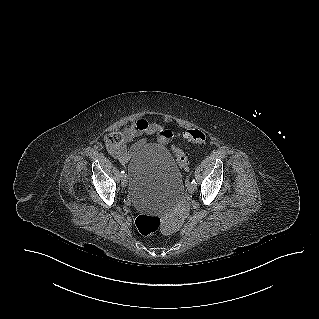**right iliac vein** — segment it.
Returning <instances> with one entry per match:
<instances>
[{"instance_id": "1", "label": "right iliac vein", "mask_w": 319, "mask_h": 319, "mask_svg": "<svg viewBox=\"0 0 319 319\" xmlns=\"http://www.w3.org/2000/svg\"><path fill=\"white\" fill-rule=\"evenodd\" d=\"M127 183H128L127 177H126V175L124 174V175L122 176V178H121V185L125 188V187L127 186Z\"/></svg>"}]
</instances>
